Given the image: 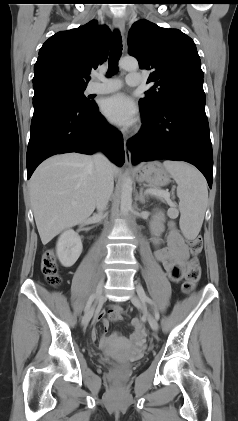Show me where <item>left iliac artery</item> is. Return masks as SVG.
<instances>
[{"mask_svg":"<svg viewBox=\"0 0 238 421\" xmlns=\"http://www.w3.org/2000/svg\"><path fill=\"white\" fill-rule=\"evenodd\" d=\"M137 293L139 298L141 299L142 302L144 303H148L153 307L154 310V316L156 318V320H158L160 318L159 312L154 304V302L146 295L143 287L141 285L137 286Z\"/></svg>","mask_w":238,"mask_h":421,"instance_id":"left-iliac-artery-1","label":"left iliac artery"}]
</instances>
